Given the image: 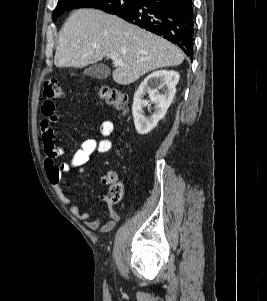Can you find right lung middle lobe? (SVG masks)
I'll return each mask as SVG.
<instances>
[{
  "instance_id": "obj_1",
  "label": "right lung middle lobe",
  "mask_w": 267,
  "mask_h": 301,
  "mask_svg": "<svg viewBox=\"0 0 267 301\" xmlns=\"http://www.w3.org/2000/svg\"><path fill=\"white\" fill-rule=\"evenodd\" d=\"M138 0H59L53 11V19L65 10L76 8H95L110 14H120L130 10Z\"/></svg>"
}]
</instances>
